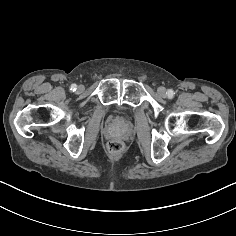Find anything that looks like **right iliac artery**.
Masks as SVG:
<instances>
[{"instance_id":"obj_1","label":"right iliac artery","mask_w":236,"mask_h":236,"mask_svg":"<svg viewBox=\"0 0 236 236\" xmlns=\"http://www.w3.org/2000/svg\"><path fill=\"white\" fill-rule=\"evenodd\" d=\"M77 89V85L76 84H72L70 87L71 91H75Z\"/></svg>"}]
</instances>
